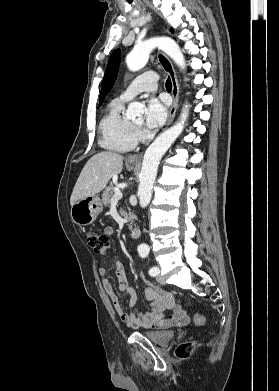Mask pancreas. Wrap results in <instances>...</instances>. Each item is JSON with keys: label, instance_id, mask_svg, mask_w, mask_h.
<instances>
[{"label": "pancreas", "instance_id": "obj_1", "mask_svg": "<svg viewBox=\"0 0 279 391\" xmlns=\"http://www.w3.org/2000/svg\"><path fill=\"white\" fill-rule=\"evenodd\" d=\"M114 193H115V189L113 186H109L105 189V191H103L102 202H103L104 206H109L111 204V198L113 197ZM120 214L124 217V219L127 222H133L134 216L131 212L126 213L121 210Z\"/></svg>", "mask_w": 279, "mask_h": 391}]
</instances>
